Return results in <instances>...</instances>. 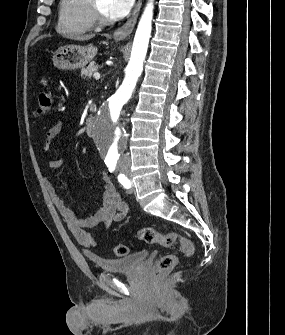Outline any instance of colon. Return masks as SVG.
<instances>
[{
  "label": "colon",
  "mask_w": 285,
  "mask_h": 335,
  "mask_svg": "<svg viewBox=\"0 0 285 335\" xmlns=\"http://www.w3.org/2000/svg\"><path fill=\"white\" fill-rule=\"evenodd\" d=\"M52 106V92L48 87L47 80L43 79V88L38 95V108L37 112L40 115L47 114ZM137 236L140 240L148 244H159L164 247H172L178 245L181 253L184 256H192L195 252L194 244L187 238L175 233L170 232L162 234L155 228L147 226L139 229ZM129 252L126 245L119 244L114 248V253L117 256H125ZM178 263V257L174 254H169L162 257L156 264L155 274L157 276H164L168 274Z\"/></svg>",
  "instance_id": "obj_1"
}]
</instances>
